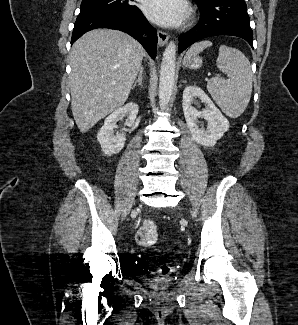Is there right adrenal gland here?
Segmentation results:
<instances>
[{
  "mask_svg": "<svg viewBox=\"0 0 298 325\" xmlns=\"http://www.w3.org/2000/svg\"><path fill=\"white\" fill-rule=\"evenodd\" d=\"M143 74V68H140V72H138V78L135 80L132 88H135L136 84H141V86H143Z\"/></svg>",
  "mask_w": 298,
  "mask_h": 325,
  "instance_id": "obj_1",
  "label": "right adrenal gland"
}]
</instances>
